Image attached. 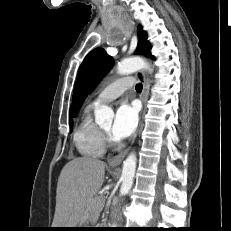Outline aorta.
Instances as JSON below:
<instances>
[{"mask_svg":"<svg viewBox=\"0 0 231 231\" xmlns=\"http://www.w3.org/2000/svg\"><path fill=\"white\" fill-rule=\"evenodd\" d=\"M140 69L150 70L148 63L140 57L124 59L119 62L117 66V72L121 75L130 74ZM113 116V111L107 106H102L101 108L95 110V120L97 123L112 121ZM135 170L136 155L134 152H132L127 156L126 160L123 163L121 176L122 184L120 188V193L122 195L127 194L132 187ZM116 226L117 225L115 222L111 224L112 228H116Z\"/></svg>","mask_w":231,"mask_h":231,"instance_id":"obj_1","label":"aorta"}]
</instances>
